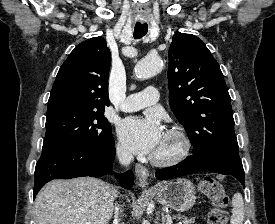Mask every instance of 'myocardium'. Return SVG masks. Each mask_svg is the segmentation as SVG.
<instances>
[{
	"instance_id": "1",
	"label": "myocardium",
	"mask_w": 275,
	"mask_h": 224,
	"mask_svg": "<svg viewBox=\"0 0 275 224\" xmlns=\"http://www.w3.org/2000/svg\"><path fill=\"white\" fill-rule=\"evenodd\" d=\"M165 138L171 142V148L163 154H154L150 158L152 163L159 166L173 165L182 161L191 147L189 137L180 127H170L165 133Z\"/></svg>"
}]
</instances>
